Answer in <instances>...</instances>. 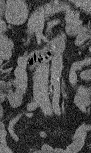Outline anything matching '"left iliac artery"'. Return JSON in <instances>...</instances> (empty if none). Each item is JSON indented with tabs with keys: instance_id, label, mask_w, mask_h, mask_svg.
<instances>
[{
	"instance_id": "left-iliac-artery-1",
	"label": "left iliac artery",
	"mask_w": 91,
	"mask_h": 153,
	"mask_svg": "<svg viewBox=\"0 0 91 153\" xmlns=\"http://www.w3.org/2000/svg\"><path fill=\"white\" fill-rule=\"evenodd\" d=\"M59 89L58 88H56L55 89V93H54V96H53V102H52V104H53V109H54V111H55V113L57 114V115H60L61 114V109H60V105H59Z\"/></svg>"
}]
</instances>
